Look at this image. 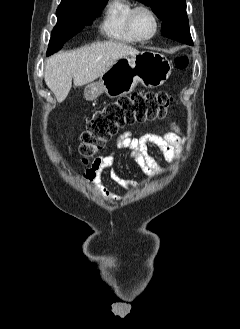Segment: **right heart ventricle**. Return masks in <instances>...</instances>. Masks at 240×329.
Wrapping results in <instances>:
<instances>
[{
    "instance_id": "e07e8e85",
    "label": "right heart ventricle",
    "mask_w": 240,
    "mask_h": 329,
    "mask_svg": "<svg viewBox=\"0 0 240 329\" xmlns=\"http://www.w3.org/2000/svg\"><path fill=\"white\" fill-rule=\"evenodd\" d=\"M134 7L132 0H111L101 23V30L114 41H137L128 29V17Z\"/></svg>"
}]
</instances>
